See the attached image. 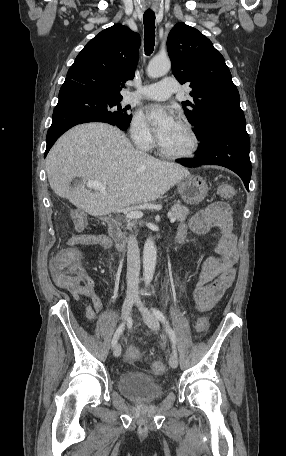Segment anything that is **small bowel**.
I'll return each instance as SVG.
<instances>
[{
  "label": "small bowel",
  "mask_w": 286,
  "mask_h": 456,
  "mask_svg": "<svg viewBox=\"0 0 286 456\" xmlns=\"http://www.w3.org/2000/svg\"><path fill=\"white\" fill-rule=\"evenodd\" d=\"M234 216L230 206L223 202H215L200 210L189 221L181 225L177 234L186 235L187 230L196 234H204L212 228L220 230V237L215 250L217 255L206 258L197 268L193 295L195 309L205 312L213 308L221 299L235 279V266L239 259V251L234 234ZM72 246L100 247L111 249V240L104 235L79 234L69 240ZM73 297L80 301L88 320H95L103 310V302L94 280L87 277L83 286L71 291ZM89 301H88V300ZM129 350H135L130 347Z\"/></svg>",
  "instance_id": "c3829d8e"
}]
</instances>
